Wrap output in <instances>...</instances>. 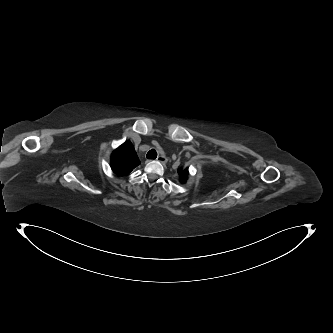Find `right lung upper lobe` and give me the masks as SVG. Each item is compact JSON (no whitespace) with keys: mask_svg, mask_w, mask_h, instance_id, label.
Instances as JSON below:
<instances>
[{"mask_svg":"<svg viewBox=\"0 0 333 333\" xmlns=\"http://www.w3.org/2000/svg\"><path fill=\"white\" fill-rule=\"evenodd\" d=\"M139 164L140 160L130 141L124 142L114 150L110 159L112 171L120 176L129 174Z\"/></svg>","mask_w":333,"mask_h":333,"instance_id":"cb5924a9","label":"right lung upper lobe"}]
</instances>
